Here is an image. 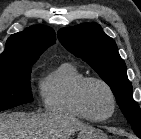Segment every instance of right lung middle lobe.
I'll return each instance as SVG.
<instances>
[{
  "instance_id": "1",
  "label": "right lung middle lobe",
  "mask_w": 141,
  "mask_h": 139,
  "mask_svg": "<svg viewBox=\"0 0 141 139\" xmlns=\"http://www.w3.org/2000/svg\"><path fill=\"white\" fill-rule=\"evenodd\" d=\"M31 65L0 67V111L33 101Z\"/></svg>"
}]
</instances>
